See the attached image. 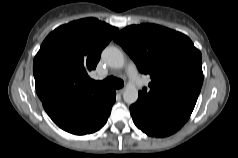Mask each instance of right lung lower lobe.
<instances>
[{
    "mask_svg": "<svg viewBox=\"0 0 238 158\" xmlns=\"http://www.w3.org/2000/svg\"><path fill=\"white\" fill-rule=\"evenodd\" d=\"M114 90L91 96H53L42 99L50 118L64 131L85 135L106 123L115 102Z\"/></svg>",
    "mask_w": 238,
    "mask_h": 158,
    "instance_id": "98d812e1",
    "label": "right lung lower lobe"
}]
</instances>
